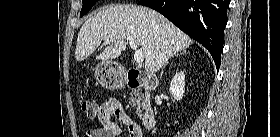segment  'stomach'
Here are the masks:
<instances>
[{"mask_svg":"<svg viewBox=\"0 0 280 137\" xmlns=\"http://www.w3.org/2000/svg\"><path fill=\"white\" fill-rule=\"evenodd\" d=\"M95 76L99 83L108 89L122 87L124 81L123 70L113 61H101L95 68Z\"/></svg>","mask_w":280,"mask_h":137,"instance_id":"obj_1","label":"stomach"}]
</instances>
